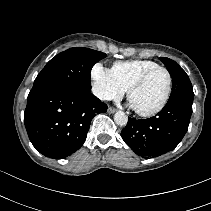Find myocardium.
Masks as SVG:
<instances>
[{"instance_id":"myocardium-1","label":"myocardium","mask_w":211,"mask_h":211,"mask_svg":"<svg viewBox=\"0 0 211 211\" xmlns=\"http://www.w3.org/2000/svg\"><path fill=\"white\" fill-rule=\"evenodd\" d=\"M159 70L164 71L167 74V77H168V83H167L166 93H165L164 98L161 101V103L157 107H155V108H153L151 110H148V111H140V110H137V109L134 108L135 109V112L139 116H141V117H152V116L158 114L159 112H161L164 109V107L168 103V100H169L170 95H171L172 82H173L172 75H171L170 71L167 68L162 67V66H157V67L151 68V69L145 71L142 75H140L131 84V86L127 90V98L130 101L132 94L145 83V81L147 80V78L152 73H154L156 71H159Z\"/></svg>"}]
</instances>
